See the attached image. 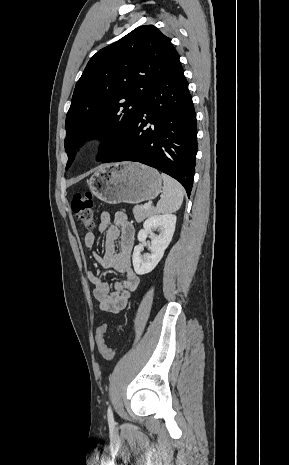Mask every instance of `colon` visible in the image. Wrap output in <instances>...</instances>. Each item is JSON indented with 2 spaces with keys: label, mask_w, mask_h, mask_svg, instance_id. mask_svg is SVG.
<instances>
[{
  "label": "colon",
  "mask_w": 289,
  "mask_h": 465,
  "mask_svg": "<svg viewBox=\"0 0 289 465\" xmlns=\"http://www.w3.org/2000/svg\"><path fill=\"white\" fill-rule=\"evenodd\" d=\"M71 208L80 225L86 230H91L94 227V199L90 192L76 193L71 201ZM107 324H102L97 328L95 339L100 354L110 360L113 356L112 350L105 343V333Z\"/></svg>",
  "instance_id": "colon-1"
}]
</instances>
